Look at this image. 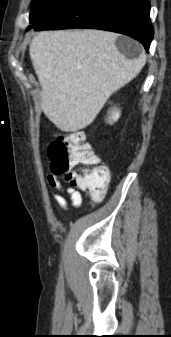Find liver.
<instances>
[{
	"label": "liver",
	"mask_w": 171,
	"mask_h": 337,
	"mask_svg": "<svg viewBox=\"0 0 171 337\" xmlns=\"http://www.w3.org/2000/svg\"><path fill=\"white\" fill-rule=\"evenodd\" d=\"M98 30L43 31L34 36L29 54L42 88V109L65 132L84 129L107 99L133 80L146 55L129 60L115 41Z\"/></svg>",
	"instance_id": "liver-1"
}]
</instances>
